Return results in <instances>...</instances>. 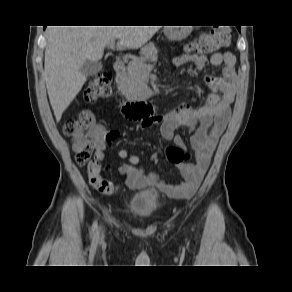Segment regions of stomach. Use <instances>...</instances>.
<instances>
[{"instance_id":"stomach-1","label":"stomach","mask_w":292,"mask_h":292,"mask_svg":"<svg viewBox=\"0 0 292 292\" xmlns=\"http://www.w3.org/2000/svg\"><path fill=\"white\" fill-rule=\"evenodd\" d=\"M189 29H169L167 31V37L170 40L180 41L187 37Z\"/></svg>"}]
</instances>
